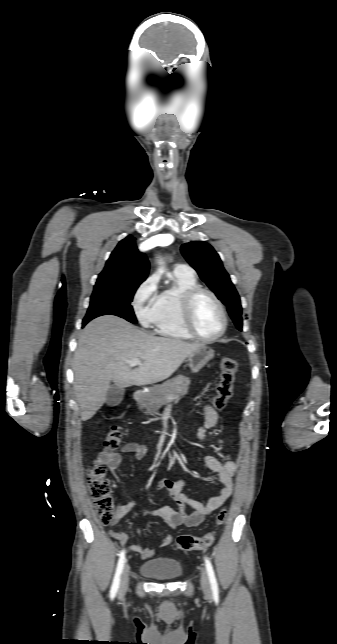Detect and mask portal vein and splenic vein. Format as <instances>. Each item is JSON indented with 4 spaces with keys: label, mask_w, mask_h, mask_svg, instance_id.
Returning a JSON list of instances; mask_svg holds the SVG:
<instances>
[{
    "label": "portal vein and splenic vein",
    "mask_w": 337,
    "mask_h": 644,
    "mask_svg": "<svg viewBox=\"0 0 337 644\" xmlns=\"http://www.w3.org/2000/svg\"><path fill=\"white\" fill-rule=\"evenodd\" d=\"M126 363L129 366L133 367V366H136V365H140L142 363V360H140L138 358H134V359H131V360H127Z\"/></svg>",
    "instance_id": "portal-vein-and-splenic-vein-1"
}]
</instances>
